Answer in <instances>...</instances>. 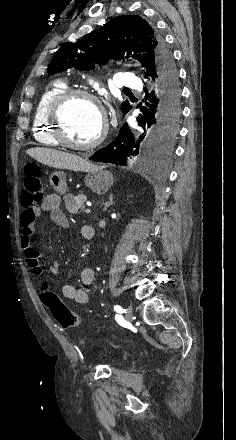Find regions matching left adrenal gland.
Here are the masks:
<instances>
[{"label":"left adrenal gland","instance_id":"obj_1","mask_svg":"<svg viewBox=\"0 0 236 440\" xmlns=\"http://www.w3.org/2000/svg\"><path fill=\"white\" fill-rule=\"evenodd\" d=\"M114 202H113V197H112V194H110V196H109V201H107V202H105L104 203V207H103V211H105L110 205H112Z\"/></svg>","mask_w":236,"mask_h":440}]
</instances>
